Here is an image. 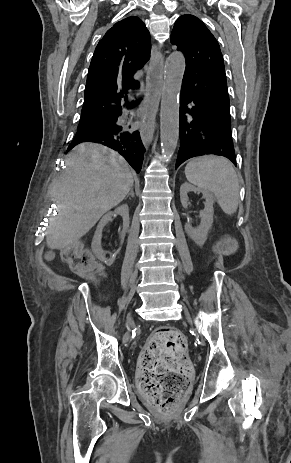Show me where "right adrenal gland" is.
Instances as JSON below:
<instances>
[{"mask_svg":"<svg viewBox=\"0 0 291 463\" xmlns=\"http://www.w3.org/2000/svg\"><path fill=\"white\" fill-rule=\"evenodd\" d=\"M129 196L134 197L133 187L131 188L130 192L127 194L126 198H128Z\"/></svg>","mask_w":291,"mask_h":463,"instance_id":"right-adrenal-gland-1","label":"right adrenal gland"}]
</instances>
